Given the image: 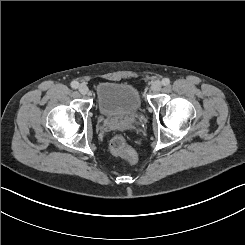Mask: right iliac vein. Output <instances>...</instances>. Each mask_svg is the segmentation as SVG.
I'll return each instance as SVG.
<instances>
[{
  "label": "right iliac vein",
  "instance_id": "63e3f726",
  "mask_svg": "<svg viewBox=\"0 0 245 245\" xmlns=\"http://www.w3.org/2000/svg\"><path fill=\"white\" fill-rule=\"evenodd\" d=\"M79 92L83 95L88 93V87L85 84H81L78 88Z\"/></svg>",
  "mask_w": 245,
  "mask_h": 245
}]
</instances>
